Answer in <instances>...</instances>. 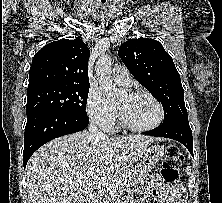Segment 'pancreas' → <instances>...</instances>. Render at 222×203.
I'll list each match as a JSON object with an SVG mask.
<instances>
[{
	"instance_id": "1",
	"label": "pancreas",
	"mask_w": 222,
	"mask_h": 203,
	"mask_svg": "<svg viewBox=\"0 0 222 203\" xmlns=\"http://www.w3.org/2000/svg\"><path fill=\"white\" fill-rule=\"evenodd\" d=\"M146 178V174L139 172L136 168L130 167L126 169L120 179H126L130 182V184H136L142 182ZM99 203H112L117 198V193L112 191H106L99 195Z\"/></svg>"
}]
</instances>
